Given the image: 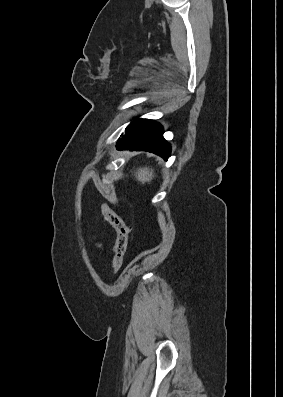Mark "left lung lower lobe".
Instances as JSON below:
<instances>
[{"mask_svg": "<svg viewBox=\"0 0 283 397\" xmlns=\"http://www.w3.org/2000/svg\"><path fill=\"white\" fill-rule=\"evenodd\" d=\"M118 149L153 152L165 160L170 156V144L163 138L162 126L148 119H138L117 144Z\"/></svg>", "mask_w": 283, "mask_h": 397, "instance_id": "left-lung-lower-lobe-1", "label": "left lung lower lobe"}]
</instances>
